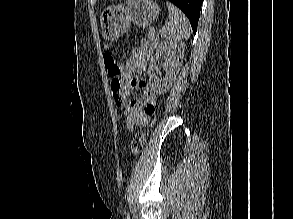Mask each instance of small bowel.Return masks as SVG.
<instances>
[{"label": "small bowel", "instance_id": "small-bowel-1", "mask_svg": "<svg viewBox=\"0 0 293 219\" xmlns=\"http://www.w3.org/2000/svg\"><path fill=\"white\" fill-rule=\"evenodd\" d=\"M152 56V48L146 41H142L140 46L133 52L132 56L126 61L123 71L118 77L119 89L111 90L116 104L123 109L126 117L128 130L133 131L136 127H146L149 123L150 113L147 112L149 106L155 108L157 96L147 82L135 77L141 74ZM139 88L143 91V99L136 100L129 98V91Z\"/></svg>", "mask_w": 293, "mask_h": 219}]
</instances>
